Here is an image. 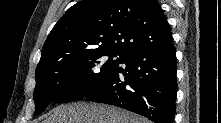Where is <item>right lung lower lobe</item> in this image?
Wrapping results in <instances>:
<instances>
[{"mask_svg":"<svg viewBox=\"0 0 221 123\" xmlns=\"http://www.w3.org/2000/svg\"><path fill=\"white\" fill-rule=\"evenodd\" d=\"M120 63L125 67L117 66L83 98L124 108L154 123H173L177 66L172 35L159 44L125 54Z\"/></svg>","mask_w":221,"mask_h":123,"instance_id":"1","label":"right lung lower lobe"}]
</instances>
